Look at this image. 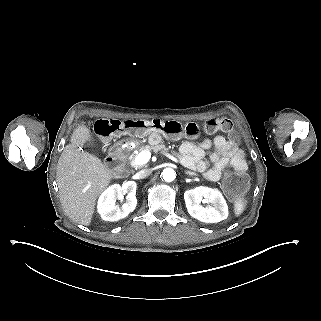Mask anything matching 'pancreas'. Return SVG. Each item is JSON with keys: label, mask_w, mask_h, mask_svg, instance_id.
Wrapping results in <instances>:
<instances>
[{"label": "pancreas", "mask_w": 321, "mask_h": 321, "mask_svg": "<svg viewBox=\"0 0 321 321\" xmlns=\"http://www.w3.org/2000/svg\"><path fill=\"white\" fill-rule=\"evenodd\" d=\"M138 151H153L155 153L160 152L162 154H167L169 153V149L164 145V144H160V145H156V146H151V145H143L142 143L138 144L136 146V148ZM172 154H175L176 152L174 150L171 151ZM196 175V173H195Z\"/></svg>", "instance_id": "obj_1"}]
</instances>
